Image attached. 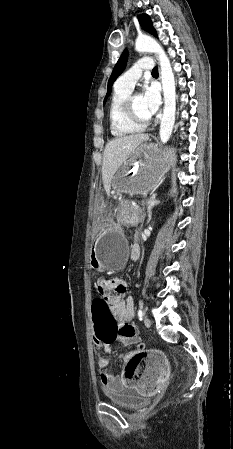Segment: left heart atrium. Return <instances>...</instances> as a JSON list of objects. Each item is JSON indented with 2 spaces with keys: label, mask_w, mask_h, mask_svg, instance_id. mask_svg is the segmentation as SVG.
Returning <instances> with one entry per match:
<instances>
[{
  "label": "left heart atrium",
  "mask_w": 233,
  "mask_h": 449,
  "mask_svg": "<svg viewBox=\"0 0 233 449\" xmlns=\"http://www.w3.org/2000/svg\"><path fill=\"white\" fill-rule=\"evenodd\" d=\"M142 98L148 114L150 116L155 114L161 104L159 87L156 84H150L146 86Z\"/></svg>",
  "instance_id": "obj_1"
}]
</instances>
